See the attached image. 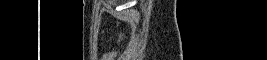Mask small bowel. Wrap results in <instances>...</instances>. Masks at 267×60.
I'll list each match as a JSON object with an SVG mask.
<instances>
[{"instance_id": "c3829d8e", "label": "small bowel", "mask_w": 267, "mask_h": 60, "mask_svg": "<svg viewBox=\"0 0 267 60\" xmlns=\"http://www.w3.org/2000/svg\"><path fill=\"white\" fill-rule=\"evenodd\" d=\"M111 56H112V54H109V55H108V57H109L108 59H110Z\"/></svg>"}]
</instances>
